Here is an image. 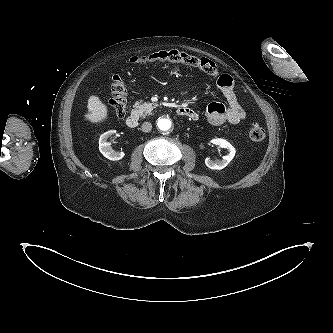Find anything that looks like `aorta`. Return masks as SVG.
I'll return each instance as SVG.
<instances>
[{"mask_svg": "<svg viewBox=\"0 0 333 333\" xmlns=\"http://www.w3.org/2000/svg\"><path fill=\"white\" fill-rule=\"evenodd\" d=\"M157 126H158L159 130L165 132V131L170 130V128L172 126V122L168 118H161L158 120Z\"/></svg>", "mask_w": 333, "mask_h": 333, "instance_id": "1", "label": "aorta"}]
</instances>
